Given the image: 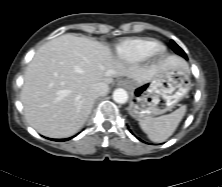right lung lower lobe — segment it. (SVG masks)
I'll return each mask as SVG.
<instances>
[{
	"label": "right lung lower lobe",
	"mask_w": 222,
	"mask_h": 187,
	"mask_svg": "<svg viewBox=\"0 0 222 187\" xmlns=\"http://www.w3.org/2000/svg\"><path fill=\"white\" fill-rule=\"evenodd\" d=\"M53 140H56V141H66L68 139H53Z\"/></svg>",
	"instance_id": "obj_1"
}]
</instances>
